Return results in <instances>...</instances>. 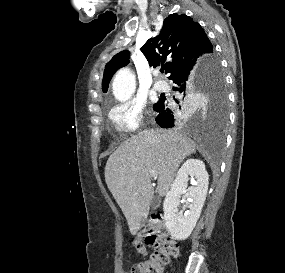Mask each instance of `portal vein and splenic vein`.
Segmentation results:
<instances>
[{
	"instance_id": "18ae733b",
	"label": "portal vein and splenic vein",
	"mask_w": 285,
	"mask_h": 273,
	"mask_svg": "<svg viewBox=\"0 0 285 273\" xmlns=\"http://www.w3.org/2000/svg\"><path fill=\"white\" fill-rule=\"evenodd\" d=\"M150 176H151L152 178H157V177H158V174H157V172H156L155 170H151V171H150Z\"/></svg>"
}]
</instances>
